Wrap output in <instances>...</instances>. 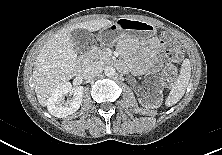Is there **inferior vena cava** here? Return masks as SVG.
<instances>
[{
    "instance_id": "inferior-vena-cava-1",
    "label": "inferior vena cava",
    "mask_w": 222,
    "mask_h": 155,
    "mask_svg": "<svg viewBox=\"0 0 222 155\" xmlns=\"http://www.w3.org/2000/svg\"><path fill=\"white\" fill-rule=\"evenodd\" d=\"M102 71H103L102 66L94 63L86 66L83 70L82 75L83 78L87 80L99 75Z\"/></svg>"
}]
</instances>
